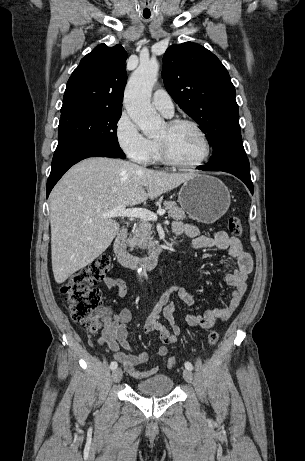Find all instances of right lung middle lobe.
<instances>
[{
	"mask_svg": "<svg viewBox=\"0 0 305 461\" xmlns=\"http://www.w3.org/2000/svg\"><path fill=\"white\" fill-rule=\"evenodd\" d=\"M121 114V110L95 105L61 108L56 150L91 144L103 146L125 158L118 144L116 131Z\"/></svg>",
	"mask_w": 305,
	"mask_h": 461,
	"instance_id": "right-lung-middle-lobe-1",
	"label": "right lung middle lobe"
}]
</instances>
